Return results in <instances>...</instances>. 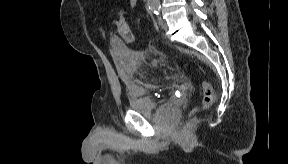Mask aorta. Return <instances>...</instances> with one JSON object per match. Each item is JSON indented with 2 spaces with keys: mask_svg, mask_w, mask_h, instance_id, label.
Listing matches in <instances>:
<instances>
[{
  "mask_svg": "<svg viewBox=\"0 0 288 164\" xmlns=\"http://www.w3.org/2000/svg\"><path fill=\"white\" fill-rule=\"evenodd\" d=\"M148 2L152 10H159L160 0H148Z\"/></svg>",
  "mask_w": 288,
  "mask_h": 164,
  "instance_id": "obj_1",
  "label": "aorta"
}]
</instances>
